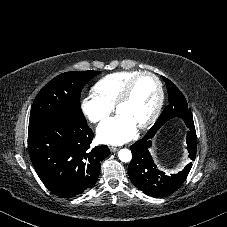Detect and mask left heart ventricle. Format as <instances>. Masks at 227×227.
Masks as SVG:
<instances>
[{"label":"left heart ventricle","mask_w":227,"mask_h":227,"mask_svg":"<svg viewBox=\"0 0 227 227\" xmlns=\"http://www.w3.org/2000/svg\"><path fill=\"white\" fill-rule=\"evenodd\" d=\"M158 97L156 83L149 76L140 77L130 99L117 108V113L128 117L137 127L153 113Z\"/></svg>","instance_id":"1"}]
</instances>
